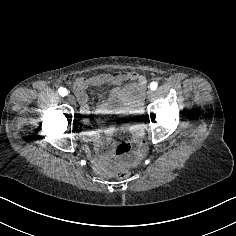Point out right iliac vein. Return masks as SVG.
<instances>
[{
  "label": "right iliac vein",
  "instance_id": "1",
  "mask_svg": "<svg viewBox=\"0 0 236 236\" xmlns=\"http://www.w3.org/2000/svg\"><path fill=\"white\" fill-rule=\"evenodd\" d=\"M71 103L73 104V106L76 108L78 106V104L75 102V100L72 98L71 100Z\"/></svg>",
  "mask_w": 236,
  "mask_h": 236
}]
</instances>
